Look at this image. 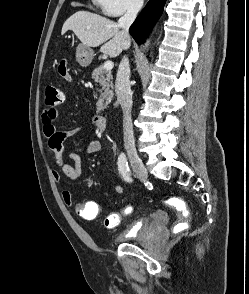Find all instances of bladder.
Instances as JSON below:
<instances>
[{
    "instance_id": "obj_1",
    "label": "bladder",
    "mask_w": 249,
    "mask_h": 294,
    "mask_svg": "<svg viewBox=\"0 0 249 294\" xmlns=\"http://www.w3.org/2000/svg\"><path fill=\"white\" fill-rule=\"evenodd\" d=\"M167 221V216H156L154 219L140 217L133 223V225L130 226L129 229L120 233L116 239L122 243H126L130 240L141 241L156 232L157 229Z\"/></svg>"
}]
</instances>
